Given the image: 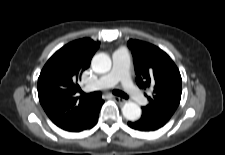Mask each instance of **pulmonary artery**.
<instances>
[{
  "instance_id": "obj_1",
  "label": "pulmonary artery",
  "mask_w": 225,
  "mask_h": 155,
  "mask_svg": "<svg viewBox=\"0 0 225 155\" xmlns=\"http://www.w3.org/2000/svg\"><path fill=\"white\" fill-rule=\"evenodd\" d=\"M118 82L121 83L124 91L136 102L144 103L145 97L133 84L129 75V54L125 48H120L113 53L112 70L98 79L91 87V90H99L113 87Z\"/></svg>"
}]
</instances>
